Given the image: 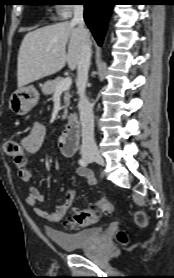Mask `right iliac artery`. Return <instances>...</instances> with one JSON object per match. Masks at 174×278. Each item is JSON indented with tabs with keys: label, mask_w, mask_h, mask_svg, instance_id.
<instances>
[{
	"label": "right iliac artery",
	"mask_w": 174,
	"mask_h": 278,
	"mask_svg": "<svg viewBox=\"0 0 174 278\" xmlns=\"http://www.w3.org/2000/svg\"><path fill=\"white\" fill-rule=\"evenodd\" d=\"M79 164H80L81 166H83V167H86V166L88 165V161H87V159H85V158H81V159L79 160Z\"/></svg>",
	"instance_id": "right-iliac-artery-1"
}]
</instances>
